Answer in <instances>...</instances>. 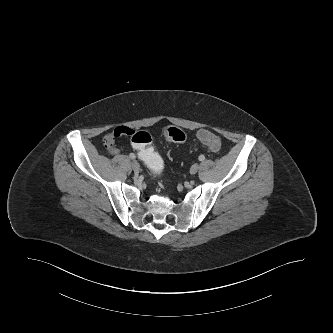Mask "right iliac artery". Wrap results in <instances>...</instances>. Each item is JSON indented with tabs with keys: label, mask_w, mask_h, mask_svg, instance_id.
Listing matches in <instances>:
<instances>
[{
	"label": "right iliac artery",
	"mask_w": 333,
	"mask_h": 333,
	"mask_svg": "<svg viewBox=\"0 0 333 333\" xmlns=\"http://www.w3.org/2000/svg\"><path fill=\"white\" fill-rule=\"evenodd\" d=\"M129 157H130L131 159H135V158H136V156H135L134 153H130V154H129Z\"/></svg>",
	"instance_id": "right-iliac-artery-1"
}]
</instances>
